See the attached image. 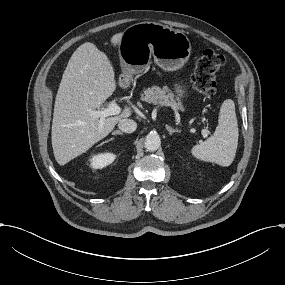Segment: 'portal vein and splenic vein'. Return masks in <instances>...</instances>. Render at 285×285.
I'll use <instances>...</instances> for the list:
<instances>
[{
  "label": "portal vein and splenic vein",
  "mask_w": 285,
  "mask_h": 285,
  "mask_svg": "<svg viewBox=\"0 0 285 285\" xmlns=\"http://www.w3.org/2000/svg\"><path fill=\"white\" fill-rule=\"evenodd\" d=\"M88 112L90 115L94 118H99L100 127L104 124V119L106 117L112 116V115H118L121 112V108L116 103H111L110 106L104 110H91L88 109ZM202 135L204 138L208 136V131L206 129L202 130Z\"/></svg>",
  "instance_id": "1"
}]
</instances>
